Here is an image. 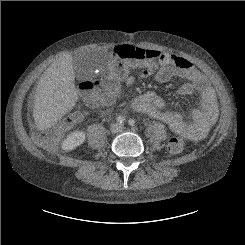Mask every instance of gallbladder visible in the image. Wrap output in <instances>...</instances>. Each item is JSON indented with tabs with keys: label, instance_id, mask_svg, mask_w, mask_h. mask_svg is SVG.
Returning <instances> with one entry per match:
<instances>
[{
	"label": "gallbladder",
	"instance_id": "bac80fb5",
	"mask_svg": "<svg viewBox=\"0 0 245 245\" xmlns=\"http://www.w3.org/2000/svg\"><path fill=\"white\" fill-rule=\"evenodd\" d=\"M75 70H76V72L78 71V67L77 66H75Z\"/></svg>",
	"mask_w": 245,
	"mask_h": 245
}]
</instances>
